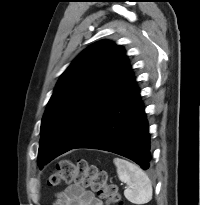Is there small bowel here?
<instances>
[{
  "label": "small bowel",
  "mask_w": 200,
  "mask_h": 205,
  "mask_svg": "<svg viewBox=\"0 0 200 205\" xmlns=\"http://www.w3.org/2000/svg\"><path fill=\"white\" fill-rule=\"evenodd\" d=\"M54 205H103V202L93 192L73 184L57 193Z\"/></svg>",
  "instance_id": "c3829d8e"
}]
</instances>
